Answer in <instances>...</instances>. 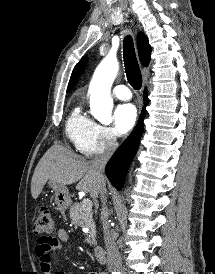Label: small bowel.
I'll return each instance as SVG.
<instances>
[{
	"mask_svg": "<svg viewBox=\"0 0 215 274\" xmlns=\"http://www.w3.org/2000/svg\"><path fill=\"white\" fill-rule=\"evenodd\" d=\"M69 240L66 230H57V237H40L35 246V254L38 258L41 271L44 274L51 273L52 253L60 250L63 242ZM54 274H67L64 272H56ZM86 274H104L100 272H87Z\"/></svg>",
	"mask_w": 215,
	"mask_h": 274,
	"instance_id": "1",
	"label": "small bowel"
}]
</instances>
